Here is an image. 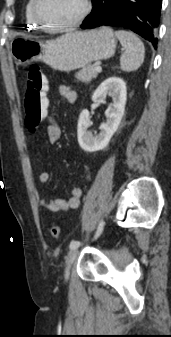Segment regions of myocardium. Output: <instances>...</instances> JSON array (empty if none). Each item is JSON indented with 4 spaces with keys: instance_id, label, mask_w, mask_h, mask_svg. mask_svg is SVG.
I'll list each match as a JSON object with an SVG mask.
<instances>
[{
    "instance_id": "obj_1",
    "label": "myocardium",
    "mask_w": 171,
    "mask_h": 337,
    "mask_svg": "<svg viewBox=\"0 0 171 337\" xmlns=\"http://www.w3.org/2000/svg\"><path fill=\"white\" fill-rule=\"evenodd\" d=\"M40 4L41 0H34L33 3V14L38 22V24L45 30L50 32H61L69 30L73 27L78 26L80 23H82L90 14L91 11V0H83V9L81 13L72 21L67 22L65 24H59V25H52L44 20L40 13Z\"/></svg>"
}]
</instances>
